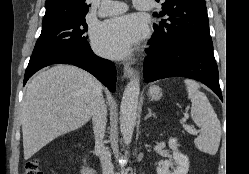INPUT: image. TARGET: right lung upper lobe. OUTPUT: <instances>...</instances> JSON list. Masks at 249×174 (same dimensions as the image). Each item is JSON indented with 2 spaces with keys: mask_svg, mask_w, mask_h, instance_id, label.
I'll return each mask as SVG.
<instances>
[{
  "mask_svg": "<svg viewBox=\"0 0 249 174\" xmlns=\"http://www.w3.org/2000/svg\"><path fill=\"white\" fill-rule=\"evenodd\" d=\"M86 0H46V13L42 26L84 17L89 5Z\"/></svg>",
  "mask_w": 249,
  "mask_h": 174,
  "instance_id": "1",
  "label": "right lung upper lobe"
}]
</instances>
